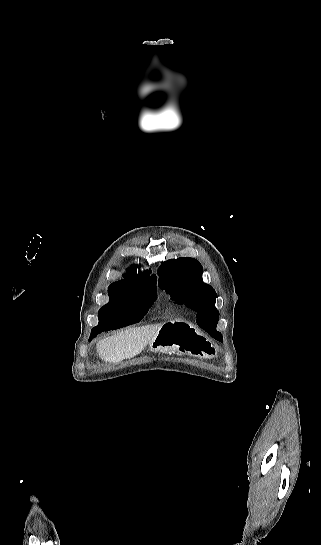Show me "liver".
Listing matches in <instances>:
<instances>
[{"mask_svg":"<svg viewBox=\"0 0 321 545\" xmlns=\"http://www.w3.org/2000/svg\"><path fill=\"white\" fill-rule=\"evenodd\" d=\"M162 325H144V327H129L113 337L98 341L96 351L107 363H120L124 359H132L139 355L151 339L155 337Z\"/></svg>","mask_w":321,"mask_h":545,"instance_id":"liver-1","label":"liver"}]
</instances>
